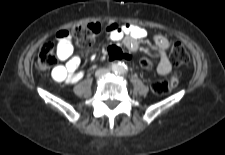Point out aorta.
<instances>
[{"label":"aorta","instance_id":"1","mask_svg":"<svg viewBox=\"0 0 225 155\" xmlns=\"http://www.w3.org/2000/svg\"><path fill=\"white\" fill-rule=\"evenodd\" d=\"M115 72L118 74H124L126 72V66L122 63H119L115 66Z\"/></svg>","mask_w":225,"mask_h":155}]
</instances>
